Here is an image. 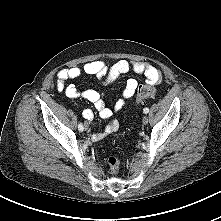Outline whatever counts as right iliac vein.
Here are the masks:
<instances>
[{"instance_id": "obj_1", "label": "right iliac vein", "mask_w": 221, "mask_h": 221, "mask_svg": "<svg viewBox=\"0 0 221 221\" xmlns=\"http://www.w3.org/2000/svg\"><path fill=\"white\" fill-rule=\"evenodd\" d=\"M85 129H88V125L87 124H85Z\"/></svg>"}]
</instances>
